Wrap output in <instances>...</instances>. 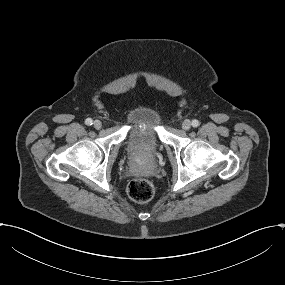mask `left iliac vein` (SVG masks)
<instances>
[{
	"instance_id": "left-iliac-vein-1",
	"label": "left iliac vein",
	"mask_w": 285,
	"mask_h": 285,
	"mask_svg": "<svg viewBox=\"0 0 285 285\" xmlns=\"http://www.w3.org/2000/svg\"><path fill=\"white\" fill-rule=\"evenodd\" d=\"M191 125H192V123H191V121L188 120V119H186V120H184V121L182 122V128H183L184 130H189V129L191 128Z\"/></svg>"
}]
</instances>
